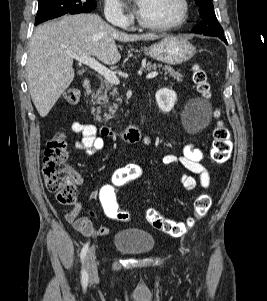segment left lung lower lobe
Instances as JSON below:
<instances>
[{
  "mask_svg": "<svg viewBox=\"0 0 267 301\" xmlns=\"http://www.w3.org/2000/svg\"><path fill=\"white\" fill-rule=\"evenodd\" d=\"M216 37H219L222 41H224L227 44V40L225 39L224 35H219Z\"/></svg>",
  "mask_w": 267,
  "mask_h": 301,
  "instance_id": "obj_1",
  "label": "left lung lower lobe"
}]
</instances>
